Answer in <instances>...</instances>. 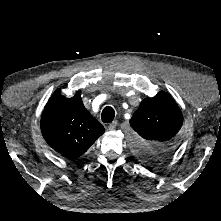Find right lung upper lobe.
Returning a JSON list of instances; mask_svg holds the SVG:
<instances>
[{"label": "right lung upper lobe", "mask_w": 221, "mask_h": 221, "mask_svg": "<svg viewBox=\"0 0 221 221\" xmlns=\"http://www.w3.org/2000/svg\"><path fill=\"white\" fill-rule=\"evenodd\" d=\"M41 131L55 151L76 158L104 133V127L86 110L80 95L66 98L57 90L42 113Z\"/></svg>", "instance_id": "right-lung-upper-lobe-1"}]
</instances>
